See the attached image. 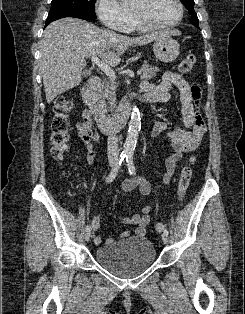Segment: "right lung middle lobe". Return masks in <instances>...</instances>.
<instances>
[{"instance_id": "dd1d6c3e", "label": "right lung middle lobe", "mask_w": 245, "mask_h": 314, "mask_svg": "<svg viewBox=\"0 0 245 314\" xmlns=\"http://www.w3.org/2000/svg\"><path fill=\"white\" fill-rule=\"evenodd\" d=\"M96 0H52L48 15L61 13H81L96 17L94 6Z\"/></svg>"}]
</instances>
